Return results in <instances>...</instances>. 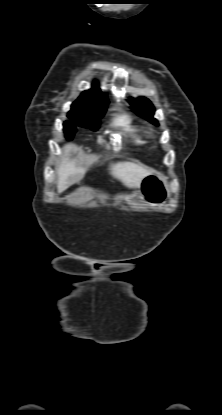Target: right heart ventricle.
Here are the masks:
<instances>
[{"label": "right heart ventricle", "mask_w": 222, "mask_h": 415, "mask_svg": "<svg viewBox=\"0 0 222 415\" xmlns=\"http://www.w3.org/2000/svg\"><path fill=\"white\" fill-rule=\"evenodd\" d=\"M115 124L125 131H127L133 138V140L138 143L142 144L145 143V140L139 134V127L135 124L133 118L128 114L120 115L116 118Z\"/></svg>", "instance_id": "obj_1"}]
</instances>
